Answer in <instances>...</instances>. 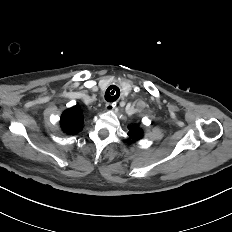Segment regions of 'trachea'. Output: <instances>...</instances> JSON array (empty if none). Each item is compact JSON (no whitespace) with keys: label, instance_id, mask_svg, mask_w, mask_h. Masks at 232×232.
<instances>
[{"label":"trachea","instance_id":"obj_1","mask_svg":"<svg viewBox=\"0 0 232 232\" xmlns=\"http://www.w3.org/2000/svg\"><path fill=\"white\" fill-rule=\"evenodd\" d=\"M119 96H120V89L115 85L109 86L105 92V99L108 102L116 101L119 98Z\"/></svg>","mask_w":232,"mask_h":232}]
</instances>
